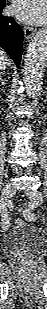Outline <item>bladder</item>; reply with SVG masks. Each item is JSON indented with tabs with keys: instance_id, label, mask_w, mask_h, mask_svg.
Wrapping results in <instances>:
<instances>
[{
	"instance_id": "obj_1",
	"label": "bladder",
	"mask_w": 47,
	"mask_h": 309,
	"mask_svg": "<svg viewBox=\"0 0 47 309\" xmlns=\"http://www.w3.org/2000/svg\"><path fill=\"white\" fill-rule=\"evenodd\" d=\"M45 246V230L26 222L6 233L1 242L3 252L9 255L38 254L44 251Z\"/></svg>"
}]
</instances>
